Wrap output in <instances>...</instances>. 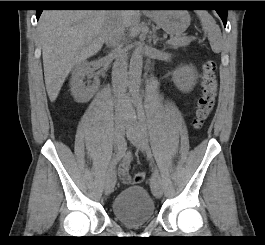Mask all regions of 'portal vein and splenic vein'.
I'll return each mask as SVG.
<instances>
[{
  "instance_id": "obj_1",
  "label": "portal vein and splenic vein",
  "mask_w": 265,
  "mask_h": 245,
  "mask_svg": "<svg viewBox=\"0 0 265 245\" xmlns=\"http://www.w3.org/2000/svg\"><path fill=\"white\" fill-rule=\"evenodd\" d=\"M171 42H173V38H170L166 41V44H170Z\"/></svg>"
}]
</instances>
